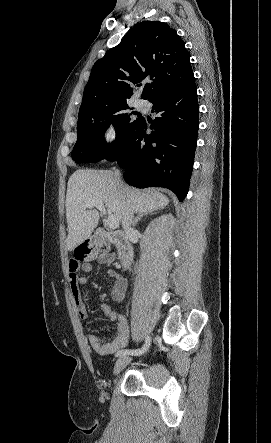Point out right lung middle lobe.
Listing matches in <instances>:
<instances>
[{
  "instance_id": "obj_1",
  "label": "right lung middle lobe",
  "mask_w": 271,
  "mask_h": 443,
  "mask_svg": "<svg viewBox=\"0 0 271 443\" xmlns=\"http://www.w3.org/2000/svg\"><path fill=\"white\" fill-rule=\"evenodd\" d=\"M128 105L115 109L101 117L80 118L77 124V142L72 151V159L77 163L112 160L127 134L142 120L132 119ZM117 129L116 140L106 144L103 135L110 125Z\"/></svg>"
}]
</instances>
